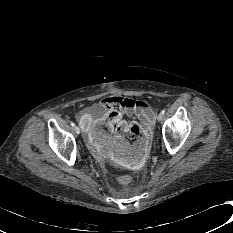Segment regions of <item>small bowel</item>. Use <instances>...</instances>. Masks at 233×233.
I'll return each mask as SVG.
<instances>
[{
    "instance_id": "obj_1",
    "label": "small bowel",
    "mask_w": 233,
    "mask_h": 233,
    "mask_svg": "<svg viewBox=\"0 0 233 233\" xmlns=\"http://www.w3.org/2000/svg\"><path fill=\"white\" fill-rule=\"evenodd\" d=\"M100 106L107 110L105 117L86 115L80 120L91 146L97 154L106 153L107 160L112 164L125 168L139 167L149 151L150 142L140 128L123 119V114L139 121L147 130L154 110L144 101L116 95L105 97ZM104 122L109 129L101 131Z\"/></svg>"
}]
</instances>
